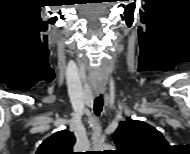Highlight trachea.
I'll list each match as a JSON object with an SVG mask.
<instances>
[{"label":"trachea","instance_id":"trachea-1","mask_svg":"<svg viewBox=\"0 0 190 154\" xmlns=\"http://www.w3.org/2000/svg\"><path fill=\"white\" fill-rule=\"evenodd\" d=\"M103 109V96L99 95L94 100V112L98 116L100 115L101 111Z\"/></svg>","mask_w":190,"mask_h":154}]
</instances>
